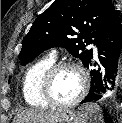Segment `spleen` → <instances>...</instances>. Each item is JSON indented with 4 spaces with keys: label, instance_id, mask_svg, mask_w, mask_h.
<instances>
[{
    "label": "spleen",
    "instance_id": "spleen-1",
    "mask_svg": "<svg viewBox=\"0 0 122 123\" xmlns=\"http://www.w3.org/2000/svg\"><path fill=\"white\" fill-rule=\"evenodd\" d=\"M81 110L90 118V122L104 123L102 110L98 104H85L81 107Z\"/></svg>",
    "mask_w": 122,
    "mask_h": 123
}]
</instances>
